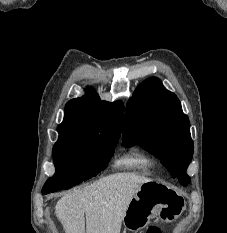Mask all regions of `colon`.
Here are the masks:
<instances>
[{"mask_svg": "<svg viewBox=\"0 0 227 233\" xmlns=\"http://www.w3.org/2000/svg\"><path fill=\"white\" fill-rule=\"evenodd\" d=\"M146 233H160V231L156 227H150Z\"/></svg>", "mask_w": 227, "mask_h": 233, "instance_id": "obj_1", "label": "colon"}]
</instances>
